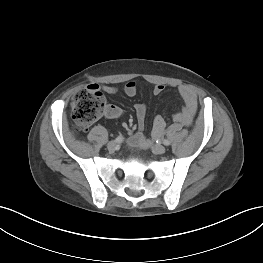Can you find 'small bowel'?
Returning a JSON list of instances; mask_svg holds the SVG:
<instances>
[{
    "mask_svg": "<svg viewBox=\"0 0 263 263\" xmlns=\"http://www.w3.org/2000/svg\"><path fill=\"white\" fill-rule=\"evenodd\" d=\"M92 86L98 85L94 84ZM103 91L109 95L115 94L117 89L113 86L105 85L102 87ZM165 89V86L162 84H157L153 88L154 95H160ZM124 92L127 96L133 97L137 93V84L134 81H130L126 83L124 86ZM178 92L184 102V106L182 110L174 115V120L178 123L188 125L192 122L194 115L197 110V96L195 92L186 85H181L178 87ZM136 118L138 121V131L133 133L128 142L133 147H145L146 146V138L142 132L144 128L145 122V114H146V106L142 103H137L134 106ZM122 114V110L120 107L116 105H107L105 116L110 119L119 118ZM165 121L161 116H156L153 122L152 135L154 137L160 136L165 129Z\"/></svg>",
    "mask_w": 263,
    "mask_h": 263,
    "instance_id": "1",
    "label": "small bowel"
}]
</instances>
